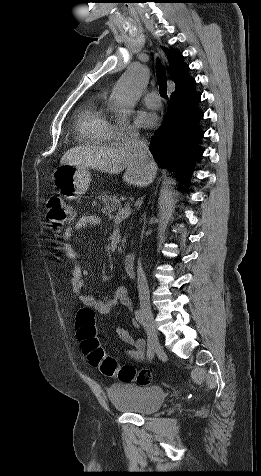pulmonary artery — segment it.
<instances>
[{
  "mask_svg": "<svg viewBox=\"0 0 261 476\" xmlns=\"http://www.w3.org/2000/svg\"><path fill=\"white\" fill-rule=\"evenodd\" d=\"M144 103L150 108H158L160 106V99L158 94L155 91L146 93L143 96Z\"/></svg>",
  "mask_w": 261,
  "mask_h": 476,
  "instance_id": "pulmonary-artery-1",
  "label": "pulmonary artery"
}]
</instances>
